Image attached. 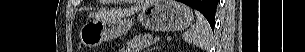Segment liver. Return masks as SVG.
Masks as SVG:
<instances>
[{
    "instance_id": "1",
    "label": "liver",
    "mask_w": 305,
    "mask_h": 52,
    "mask_svg": "<svg viewBox=\"0 0 305 52\" xmlns=\"http://www.w3.org/2000/svg\"><path fill=\"white\" fill-rule=\"evenodd\" d=\"M150 2H151V0H146L141 5H137V6L129 8V9H123V10L119 9V10L108 11V12H105V15H103V16L107 17V20L127 17V16H130V15L138 12L139 10L145 8L146 6H148V4Z\"/></svg>"
}]
</instances>
